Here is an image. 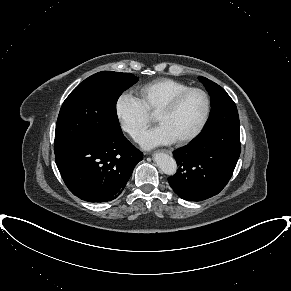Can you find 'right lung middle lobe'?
<instances>
[{
  "mask_svg": "<svg viewBox=\"0 0 291 291\" xmlns=\"http://www.w3.org/2000/svg\"><path fill=\"white\" fill-rule=\"evenodd\" d=\"M138 78L131 73L98 72L81 82L64 101L57 119L54 152L86 138L122 133L116 103Z\"/></svg>",
  "mask_w": 291,
  "mask_h": 291,
  "instance_id": "dd1d6c3e",
  "label": "right lung middle lobe"
}]
</instances>
